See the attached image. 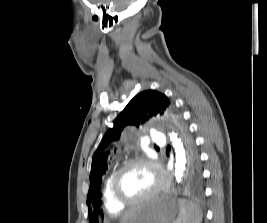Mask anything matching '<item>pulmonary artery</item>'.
<instances>
[{"label": "pulmonary artery", "instance_id": "pulmonary-artery-1", "mask_svg": "<svg viewBox=\"0 0 267 223\" xmlns=\"http://www.w3.org/2000/svg\"><path fill=\"white\" fill-rule=\"evenodd\" d=\"M153 141H154V143H156L158 146H162L163 143H164V141H163L160 137H158V136H153Z\"/></svg>", "mask_w": 267, "mask_h": 223}]
</instances>
